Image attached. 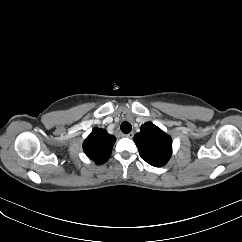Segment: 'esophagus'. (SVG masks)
Returning a JSON list of instances; mask_svg holds the SVG:
<instances>
[{
    "label": "esophagus",
    "instance_id": "esophagus-1",
    "mask_svg": "<svg viewBox=\"0 0 242 242\" xmlns=\"http://www.w3.org/2000/svg\"><path fill=\"white\" fill-rule=\"evenodd\" d=\"M124 136L127 137V138H133L134 132H130L128 134H125Z\"/></svg>",
    "mask_w": 242,
    "mask_h": 242
}]
</instances>
